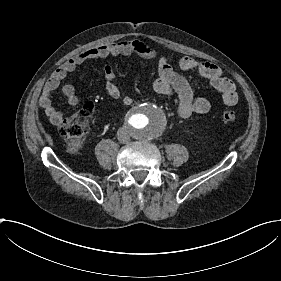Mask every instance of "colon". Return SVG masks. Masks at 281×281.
<instances>
[{
    "instance_id": "1",
    "label": "colon",
    "mask_w": 281,
    "mask_h": 281,
    "mask_svg": "<svg viewBox=\"0 0 281 281\" xmlns=\"http://www.w3.org/2000/svg\"><path fill=\"white\" fill-rule=\"evenodd\" d=\"M221 120L226 124H234L237 114L234 110L224 109L221 112ZM87 130L86 124L77 118H69L63 123L61 134L71 151L78 152L82 149Z\"/></svg>"
}]
</instances>
